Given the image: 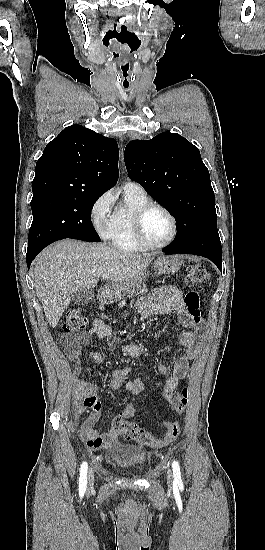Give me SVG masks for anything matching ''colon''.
<instances>
[{
  "label": "colon",
  "instance_id": "5ec220e1",
  "mask_svg": "<svg viewBox=\"0 0 265 550\" xmlns=\"http://www.w3.org/2000/svg\"><path fill=\"white\" fill-rule=\"evenodd\" d=\"M208 274L203 265L191 267L185 277L187 286L197 285L198 288L190 290L185 296V304L190 317L195 322H201V291L202 286L207 281ZM88 320L78 308H69L65 313L63 330L65 333L80 332L87 328ZM164 398L169 402L173 409L183 414L188 406L189 392L184 388L181 392H167ZM100 406L99 399L90 386H87L80 402V415L86 420L90 419ZM167 432L163 438H156L149 431L140 428L137 424L127 421L121 417H115L112 421V429L118 435L126 440L137 441L143 445L152 447H163L175 441L181 433L179 422L168 420L164 423Z\"/></svg>",
  "mask_w": 265,
  "mask_h": 550
}]
</instances>
